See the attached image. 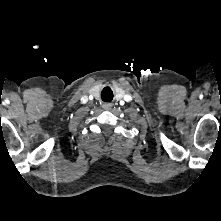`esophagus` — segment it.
Returning a JSON list of instances; mask_svg holds the SVG:
<instances>
[{
	"label": "esophagus",
	"instance_id": "obj_1",
	"mask_svg": "<svg viewBox=\"0 0 221 221\" xmlns=\"http://www.w3.org/2000/svg\"><path fill=\"white\" fill-rule=\"evenodd\" d=\"M111 106H112V105H111L110 103H106V104H104L103 107H104L105 109H109Z\"/></svg>",
	"mask_w": 221,
	"mask_h": 221
}]
</instances>
